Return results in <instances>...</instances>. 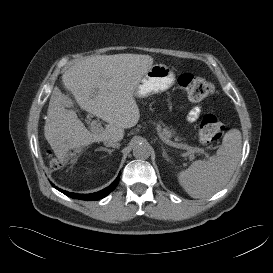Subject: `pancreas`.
Here are the masks:
<instances>
[{
    "mask_svg": "<svg viewBox=\"0 0 273 273\" xmlns=\"http://www.w3.org/2000/svg\"><path fill=\"white\" fill-rule=\"evenodd\" d=\"M157 132L167 139L171 138L173 135L172 130H170L169 127L163 125L162 128L161 124H157Z\"/></svg>",
    "mask_w": 273,
    "mask_h": 273,
    "instance_id": "pancreas-1",
    "label": "pancreas"
}]
</instances>
